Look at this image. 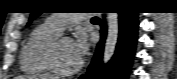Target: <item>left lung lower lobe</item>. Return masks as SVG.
Wrapping results in <instances>:
<instances>
[{
	"label": "left lung lower lobe",
	"instance_id": "left-lung-lower-lobe-1",
	"mask_svg": "<svg viewBox=\"0 0 177 79\" xmlns=\"http://www.w3.org/2000/svg\"><path fill=\"white\" fill-rule=\"evenodd\" d=\"M138 25L137 12L119 13V38L116 52L108 65L103 66L102 52L106 37V26L102 20V40L98 44L86 76H81L80 79H127L134 56Z\"/></svg>",
	"mask_w": 177,
	"mask_h": 79
}]
</instances>
